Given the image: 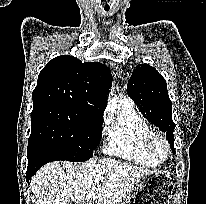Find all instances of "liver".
<instances>
[{
    "label": "liver",
    "mask_w": 206,
    "mask_h": 204,
    "mask_svg": "<svg viewBox=\"0 0 206 204\" xmlns=\"http://www.w3.org/2000/svg\"><path fill=\"white\" fill-rule=\"evenodd\" d=\"M151 171L120 163L114 159L90 160L84 163L52 162L43 166L31 179L36 204H119L135 183ZM97 176L103 180L95 183ZM97 184V187L95 186Z\"/></svg>",
    "instance_id": "obj_1"
}]
</instances>
